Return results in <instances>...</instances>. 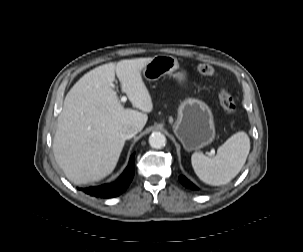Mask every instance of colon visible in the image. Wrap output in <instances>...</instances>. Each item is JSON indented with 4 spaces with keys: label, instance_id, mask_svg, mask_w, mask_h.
Wrapping results in <instances>:
<instances>
[{
    "label": "colon",
    "instance_id": "5ec220e1",
    "mask_svg": "<svg viewBox=\"0 0 303 252\" xmlns=\"http://www.w3.org/2000/svg\"><path fill=\"white\" fill-rule=\"evenodd\" d=\"M197 70L200 74L205 75V76L215 75V69L213 68V66H211L209 64H205V63L200 64V65H198ZM218 97H219L221 106L227 113L232 114V115L237 113V107L234 103V100L224 86L219 87Z\"/></svg>",
    "mask_w": 303,
    "mask_h": 252
}]
</instances>
